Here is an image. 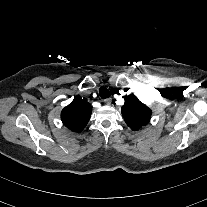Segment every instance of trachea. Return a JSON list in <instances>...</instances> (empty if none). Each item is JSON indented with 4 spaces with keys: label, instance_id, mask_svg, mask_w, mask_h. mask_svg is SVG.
I'll return each instance as SVG.
<instances>
[{
    "label": "trachea",
    "instance_id": "3493384b",
    "mask_svg": "<svg viewBox=\"0 0 207 207\" xmlns=\"http://www.w3.org/2000/svg\"><path fill=\"white\" fill-rule=\"evenodd\" d=\"M99 95H100V97H101L102 99H104V98L110 97L111 93L108 91L107 88H105V87L102 86V87L99 89Z\"/></svg>",
    "mask_w": 207,
    "mask_h": 207
}]
</instances>
